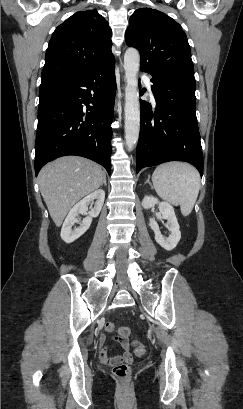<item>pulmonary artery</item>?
Returning <instances> with one entry per match:
<instances>
[{"label": "pulmonary artery", "instance_id": "pulmonary-artery-1", "mask_svg": "<svg viewBox=\"0 0 243 409\" xmlns=\"http://www.w3.org/2000/svg\"><path fill=\"white\" fill-rule=\"evenodd\" d=\"M142 81L146 84V86L148 87L149 91H151V81H150V77L148 75H143L142 76Z\"/></svg>", "mask_w": 243, "mask_h": 409}]
</instances>
